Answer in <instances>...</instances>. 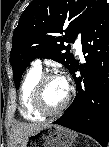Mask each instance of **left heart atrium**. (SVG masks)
Segmentation results:
<instances>
[{"mask_svg": "<svg viewBox=\"0 0 109 147\" xmlns=\"http://www.w3.org/2000/svg\"><path fill=\"white\" fill-rule=\"evenodd\" d=\"M64 81V83H65V85H66V87H67V83H66V81L65 80H63Z\"/></svg>", "mask_w": 109, "mask_h": 147, "instance_id": "left-heart-atrium-1", "label": "left heart atrium"}]
</instances>
